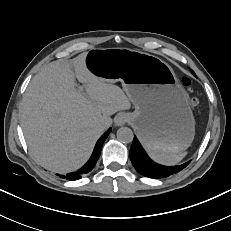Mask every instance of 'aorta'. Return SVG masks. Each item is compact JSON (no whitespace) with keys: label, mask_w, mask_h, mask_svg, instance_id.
I'll list each match as a JSON object with an SVG mask.
<instances>
[{"label":"aorta","mask_w":231,"mask_h":231,"mask_svg":"<svg viewBox=\"0 0 231 231\" xmlns=\"http://www.w3.org/2000/svg\"><path fill=\"white\" fill-rule=\"evenodd\" d=\"M117 138L122 143H130L133 141L134 135L130 128L121 127L117 131Z\"/></svg>","instance_id":"762f6f07"}]
</instances>
